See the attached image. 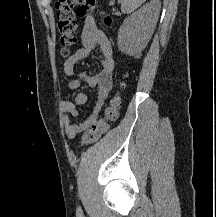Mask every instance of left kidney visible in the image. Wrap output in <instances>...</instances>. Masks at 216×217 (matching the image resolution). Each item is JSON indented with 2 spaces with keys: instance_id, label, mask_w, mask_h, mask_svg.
Instances as JSON below:
<instances>
[{
  "instance_id": "1",
  "label": "left kidney",
  "mask_w": 216,
  "mask_h": 217,
  "mask_svg": "<svg viewBox=\"0 0 216 217\" xmlns=\"http://www.w3.org/2000/svg\"><path fill=\"white\" fill-rule=\"evenodd\" d=\"M161 4L152 0L127 17L118 32V49L130 56H137L147 46L156 27Z\"/></svg>"
}]
</instances>
